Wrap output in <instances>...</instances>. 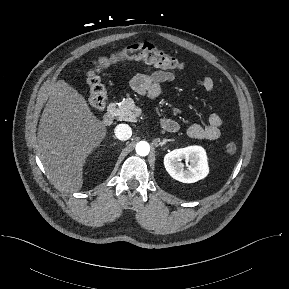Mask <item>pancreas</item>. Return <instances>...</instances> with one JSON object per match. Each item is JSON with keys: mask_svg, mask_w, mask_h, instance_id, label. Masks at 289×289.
<instances>
[{"mask_svg": "<svg viewBox=\"0 0 289 289\" xmlns=\"http://www.w3.org/2000/svg\"><path fill=\"white\" fill-rule=\"evenodd\" d=\"M115 116L118 120H124L129 122H135L139 116L137 113V107L134 104L133 99L127 98L114 111Z\"/></svg>", "mask_w": 289, "mask_h": 289, "instance_id": "1", "label": "pancreas"}]
</instances>
